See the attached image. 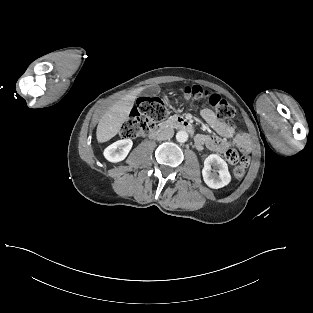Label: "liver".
<instances>
[{
  "mask_svg": "<svg viewBox=\"0 0 313 313\" xmlns=\"http://www.w3.org/2000/svg\"><path fill=\"white\" fill-rule=\"evenodd\" d=\"M143 89L144 87L134 89L103 113L96 130L98 142H105L120 131L122 124L128 119L137 95L140 94Z\"/></svg>",
  "mask_w": 313,
  "mask_h": 313,
  "instance_id": "obj_1",
  "label": "liver"
}]
</instances>
